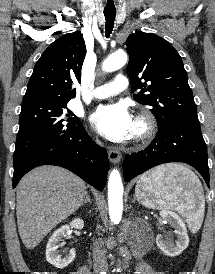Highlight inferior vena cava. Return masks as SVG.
Wrapping results in <instances>:
<instances>
[{
  "label": "inferior vena cava",
  "mask_w": 215,
  "mask_h": 274,
  "mask_svg": "<svg viewBox=\"0 0 215 274\" xmlns=\"http://www.w3.org/2000/svg\"><path fill=\"white\" fill-rule=\"evenodd\" d=\"M93 263L95 271H105L108 269L105 253L100 249L97 242L93 247Z\"/></svg>",
  "instance_id": "602c4592"
}]
</instances>
